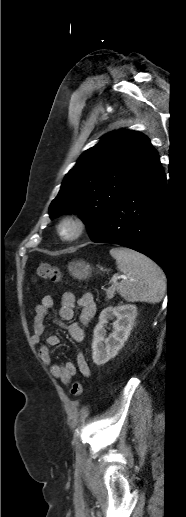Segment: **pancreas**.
<instances>
[{"mask_svg":"<svg viewBox=\"0 0 186 517\" xmlns=\"http://www.w3.org/2000/svg\"><path fill=\"white\" fill-rule=\"evenodd\" d=\"M117 290L116 285H113L106 291V300H110L114 297L115 291Z\"/></svg>","mask_w":186,"mask_h":517,"instance_id":"pancreas-1","label":"pancreas"}]
</instances>
